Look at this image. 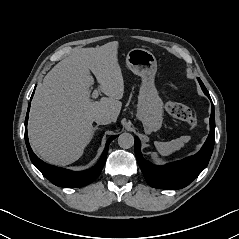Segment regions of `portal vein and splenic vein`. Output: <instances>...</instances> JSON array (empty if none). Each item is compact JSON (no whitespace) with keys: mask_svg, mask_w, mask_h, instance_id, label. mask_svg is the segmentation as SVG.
<instances>
[{"mask_svg":"<svg viewBox=\"0 0 239 239\" xmlns=\"http://www.w3.org/2000/svg\"><path fill=\"white\" fill-rule=\"evenodd\" d=\"M91 97L96 99L98 97V90H94Z\"/></svg>","mask_w":239,"mask_h":239,"instance_id":"obj_1","label":"portal vein and splenic vein"}]
</instances>
